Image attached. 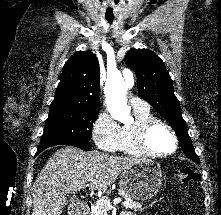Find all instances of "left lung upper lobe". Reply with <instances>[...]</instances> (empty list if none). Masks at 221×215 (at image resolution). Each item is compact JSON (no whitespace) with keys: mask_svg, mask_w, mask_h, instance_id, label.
Here are the masks:
<instances>
[{"mask_svg":"<svg viewBox=\"0 0 221 215\" xmlns=\"http://www.w3.org/2000/svg\"><path fill=\"white\" fill-rule=\"evenodd\" d=\"M124 60L137 75L139 95L170 123L185 155L192 161L200 163L188 135L179 101L174 94L172 80L164 62L147 49L131 50Z\"/></svg>","mask_w":221,"mask_h":215,"instance_id":"left-lung-upper-lobe-1","label":"left lung upper lobe"}]
</instances>
